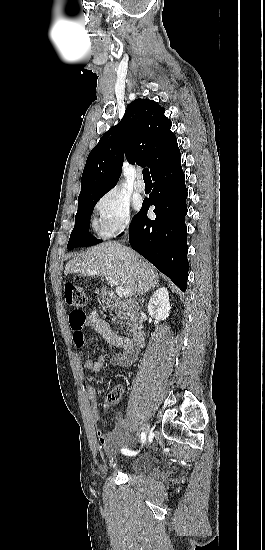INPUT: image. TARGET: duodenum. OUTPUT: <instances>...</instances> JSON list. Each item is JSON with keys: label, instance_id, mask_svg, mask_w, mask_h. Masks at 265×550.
<instances>
[{"label": "duodenum", "instance_id": "1", "mask_svg": "<svg viewBox=\"0 0 265 550\" xmlns=\"http://www.w3.org/2000/svg\"><path fill=\"white\" fill-rule=\"evenodd\" d=\"M104 303L110 308H117L123 303L110 291H105L102 294ZM127 305L131 308L135 307V303L130 301ZM145 342V331L142 322L136 321L133 326V334L131 339L132 348L138 350Z\"/></svg>", "mask_w": 265, "mask_h": 550}]
</instances>
